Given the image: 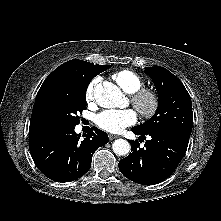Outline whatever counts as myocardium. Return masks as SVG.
I'll return each instance as SVG.
<instances>
[{"label": "myocardium", "mask_w": 221, "mask_h": 221, "mask_svg": "<svg viewBox=\"0 0 221 221\" xmlns=\"http://www.w3.org/2000/svg\"><path fill=\"white\" fill-rule=\"evenodd\" d=\"M131 102L139 114L147 119L154 117L160 108V96L152 88L136 90L131 94Z\"/></svg>", "instance_id": "obj_1"}]
</instances>
